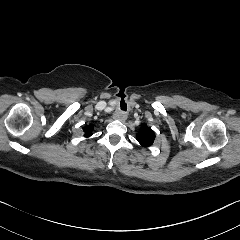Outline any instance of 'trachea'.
<instances>
[{
  "instance_id": "trachea-1",
  "label": "trachea",
  "mask_w": 240,
  "mask_h": 240,
  "mask_svg": "<svg viewBox=\"0 0 240 240\" xmlns=\"http://www.w3.org/2000/svg\"><path fill=\"white\" fill-rule=\"evenodd\" d=\"M121 109H122L123 111H126V110H127V105L125 104L124 106H121Z\"/></svg>"
}]
</instances>
